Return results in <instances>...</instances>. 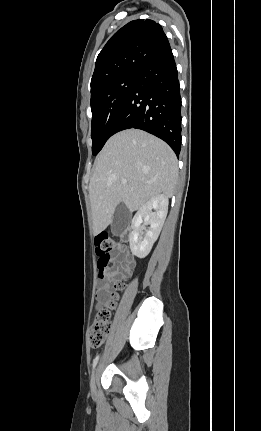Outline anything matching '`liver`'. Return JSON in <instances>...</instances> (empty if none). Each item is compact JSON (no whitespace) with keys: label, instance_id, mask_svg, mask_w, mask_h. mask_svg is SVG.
<instances>
[{"label":"liver","instance_id":"obj_1","mask_svg":"<svg viewBox=\"0 0 261 431\" xmlns=\"http://www.w3.org/2000/svg\"><path fill=\"white\" fill-rule=\"evenodd\" d=\"M177 182V158L164 141L138 129L116 133L97 156L89 184L94 235L112 222L118 204L134 212L161 193L171 197Z\"/></svg>","mask_w":261,"mask_h":431}]
</instances>
